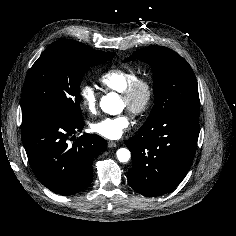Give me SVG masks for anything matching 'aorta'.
Returning <instances> with one entry per match:
<instances>
[{
	"label": "aorta",
	"mask_w": 236,
	"mask_h": 236,
	"mask_svg": "<svg viewBox=\"0 0 236 236\" xmlns=\"http://www.w3.org/2000/svg\"><path fill=\"white\" fill-rule=\"evenodd\" d=\"M101 109L110 115H117L123 110V102L117 93H108L106 96L101 98L100 101ZM117 158L120 162H127L131 157V153L126 148H120L116 152Z\"/></svg>",
	"instance_id": "obj_1"
}]
</instances>
